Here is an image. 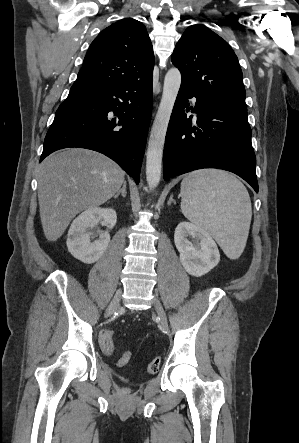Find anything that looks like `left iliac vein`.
<instances>
[{
  "label": "left iliac vein",
  "instance_id": "1",
  "mask_svg": "<svg viewBox=\"0 0 299 443\" xmlns=\"http://www.w3.org/2000/svg\"><path fill=\"white\" fill-rule=\"evenodd\" d=\"M153 306H154V309L160 319L161 327L163 328V330L167 331L168 330L167 317H166V314L164 312L162 305L160 304V302L157 298L154 299Z\"/></svg>",
  "mask_w": 299,
  "mask_h": 443
}]
</instances>
